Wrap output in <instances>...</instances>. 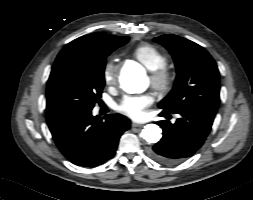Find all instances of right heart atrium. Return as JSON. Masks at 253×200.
<instances>
[{
  "mask_svg": "<svg viewBox=\"0 0 253 200\" xmlns=\"http://www.w3.org/2000/svg\"><path fill=\"white\" fill-rule=\"evenodd\" d=\"M116 64L114 61H108L103 70V79L106 84H112L116 79Z\"/></svg>",
  "mask_w": 253,
  "mask_h": 200,
  "instance_id": "right-heart-atrium-1",
  "label": "right heart atrium"
}]
</instances>
